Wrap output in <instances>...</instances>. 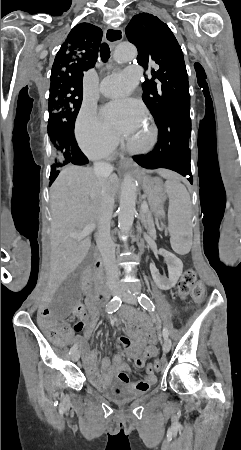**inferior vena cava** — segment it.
Listing matches in <instances>:
<instances>
[{
    "label": "inferior vena cava",
    "mask_w": 241,
    "mask_h": 450,
    "mask_svg": "<svg viewBox=\"0 0 241 450\" xmlns=\"http://www.w3.org/2000/svg\"><path fill=\"white\" fill-rule=\"evenodd\" d=\"M94 174L99 178L104 196L103 210L106 222L99 224L97 234V246L102 256L103 266L106 272V286H111L113 282L119 280L120 272L116 262L115 244L110 236V220L113 212L114 200H111L104 186V178L113 172L111 164L107 162H95L93 166Z\"/></svg>",
    "instance_id": "602c4592"
}]
</instances>
